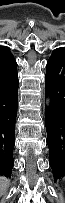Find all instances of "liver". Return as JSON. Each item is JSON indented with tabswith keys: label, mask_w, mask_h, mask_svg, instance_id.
Returning <instances> with one entry per match:
<instances>
[{
	"label": "liver",
	"mask_w": 65,
	"mask_h": 203,
	"mask_svg": "<svg viewBox=\"0 0 65 203\" xmlns=\"http://www.w3.org/2000/svg\"><path fill=\"white\" fill-rule=\"evenodd\" d=\"M8 183H9V181L6 178H4V177L0 178V191H1V194H3L4 191L6 190Z\"/></svg>",
	"instance_id": "liver-1"
}]
</instances>
